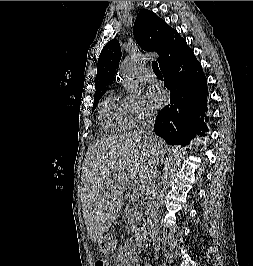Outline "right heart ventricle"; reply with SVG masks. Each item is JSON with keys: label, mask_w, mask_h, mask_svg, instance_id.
<instances>
[{"label": "right heart ventricle", "mask_w": 253, "mask_h": 266, "mask_svg": "<svg viewBox=\"0 0 253 266\" xmlns=\"http://www.w3.org/2000/svg\"><path fill=\"white\" fill-rule=\"evenodd\" d=\"M99 120L104 130L111 133L123 132L131 126L121 103L116 100L114 94H110L101 104Z\"/></svg>", "instance_id": "e07e8e85"}]
</instances>
